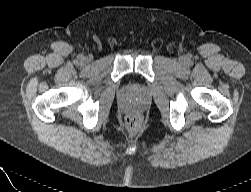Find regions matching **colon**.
Returning a JSON list of instances; mask_svg holds the SVG:
<instances>
[{
  "instance_id": "1",
  "label": "colon",
  "mask_w": 251,
  "mask_h": 192,
  "mask_svg": "<svg viewBox=\"0 0 251 192\" xmlns=\"http://www.w3.org/2000/svg\"><path fill=\"white\" fill-rule=\"evenodd\" d=\"M126 125L131 131H136L140 128L141 117L136 113H131L126 118Z\"/></svg>"
}]
</instances>
